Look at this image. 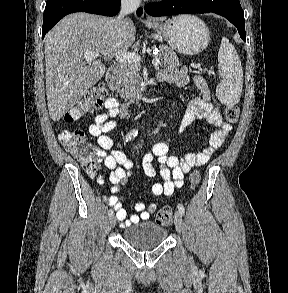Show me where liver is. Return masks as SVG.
I'll return each mask as SVG.
<instances>
[{"mask_svg":"<svg viewBox=\"0 0 288 293\" xmlns=\"http://www.w3.org/2000/svg\"><path fill=\"white\" fill-rule=\"evenodd\" d=\"M135 35L131 19L120 25L116 18L83 12L64 17L47 33L46 95L53 121L60 120L104 76L106 66L101 60L110 61L126 53ZM85 52H97L99 59L86 61Z\"/></svg>","mask_w":288,"mask_h":293,"instance_id":"obj_1","label":"liver"}]
</instances>
